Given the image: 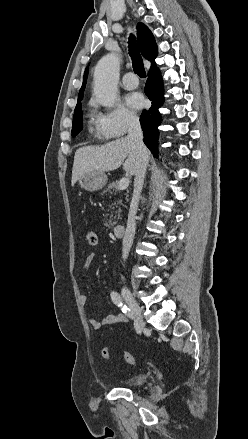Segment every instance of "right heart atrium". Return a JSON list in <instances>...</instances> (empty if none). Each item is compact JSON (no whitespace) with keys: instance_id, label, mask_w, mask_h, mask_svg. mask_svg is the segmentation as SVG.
Returning <instances> with one entry per match:
<instances>
[{"instance_id":"d8ad5b80","label":"right heart atrium","mask_w":248,"mask_h":439,"mask_svg":"<svg viewBox=\"0 0 248 439\" xmlns=\"http://www.w3.org/2000/svg\"><path fill=\"white\" fill-rule=\"evenodd\" d=\"M97 134L105 139L119 138L137 126V114L122 104L94 113Z\"/></svg>"}]
</instances>
